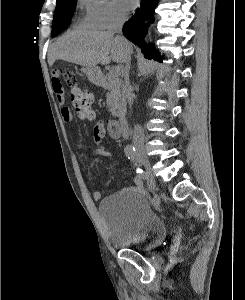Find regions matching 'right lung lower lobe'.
<instances>
[{
	"mask_svg": "<svg viewBox=\"0 0 245 300\" xmlns=\"http://www.w3.org/2000/svg\"><path fill=\"white\" fill-rule=\"evenodd\" d=\"M158 0H141V8L123 25L124 36L138 45L142 52L148 58H154L161 61V56L155 51L153 46H149L144 41L147 28L154 21V10ZM148 51V53H146Z\"/></svg>",
	"mask_w": 245,
	"mask_h": 300,
	"instance_id": "right-lung-lower-lobe-1",
	"label": "right lung lower lobe"
}]
</instances>
